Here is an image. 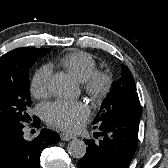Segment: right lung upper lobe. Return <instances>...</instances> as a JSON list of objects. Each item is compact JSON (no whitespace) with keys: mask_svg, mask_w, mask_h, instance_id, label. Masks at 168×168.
<instances>
[{"mask_svg":"<svg viewBox=\"0 0 168 168\" xmlns=\"http://www.w3.org/2000/svg\"><path fill=\"white\" fill-rule=\"evenodd\" d=\"M30 49V48H18V49H14L8 53H6L5 55L0 57V71L7 69L9 67H11L12 65H14V63L16 62L18 56L20 53H22L23 51ZM38 49V48H37Z\"/></svg>","mask_w":168,"mask_h":168,"instance_id":"right-lung-upper-lobe-1","label":"right lung upper lobe"}]
</instances>
